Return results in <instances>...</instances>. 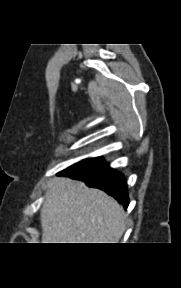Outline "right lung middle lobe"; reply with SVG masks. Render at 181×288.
I'll return each mask as SVG.
<instances>
[{"instance_id":"1","label":"right lung middle lobe","mask_w":181,"mask_h":288,"mask_svg":"<svg viewBox=\"0 0 181 288\" xmlns=\"http://www.w3.org/2000/svg\"><path fill=\"white\" fill-rule=\"evenodd\" d=\"M101 160L100 159H98V158H92V159H86V160H83L82 162H80V163H88V162H90V163H94V162H100ZM80 163H77V164H80Z\"/></svg>"}]
</instances>
